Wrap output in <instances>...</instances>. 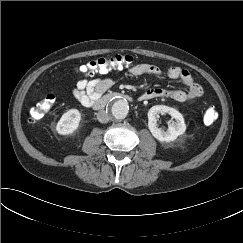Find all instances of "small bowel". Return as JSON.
Masks as SVG:
<instances>
[{
    "label": "small bowel",
    "instance_id": "1",
    "mask_svg": "<svg viewBox=\"0 0 243 243\" xmlns=\"http://www.w3.org/2000/svg\"><path fill=\"white\" fill-rule=\"evenodd\" d=\"M130 76L150 75L161 77L163 71L152 64H137L130 67L127 71ZM166 76L173 80H178L187 88L183 90H164L160 88H149L142 95V100H150L158 97H168L177 102H196L202 96V88L194 82L191 74L182 68L171 67L166 71ZM113 80L110 78H82L72 89V97L85 107H91L93 102L98 99L112 85Z\"/></svg>",
    "mask_w": 243,
    "mask_h": 243
}]
</instances>
